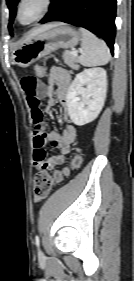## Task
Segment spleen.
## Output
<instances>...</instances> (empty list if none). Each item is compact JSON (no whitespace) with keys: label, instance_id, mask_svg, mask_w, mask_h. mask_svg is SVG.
<instances>
[{"label":"spleen","instance_id":"1","mask_svg":"<svg viewBox=\"0 0 134 281\" xmlns=\"http://www.w3.org/2000/svg\"><path fill=\"white\" fill-rule=\"evenodd\" d=\"M80 32L82 53L78 58L79 63L85 67L107 64L111 55L106 43L84 28H80Z\"/></svg>","mask_w":134,"mask_h":281}]
</instances>
